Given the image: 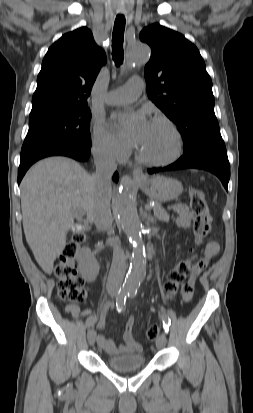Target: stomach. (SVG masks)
<instances>
[{
  "label": "stomach",
  "mask_w": 253,
  "mask_h": 413,
  "mask_svg": "<svg viewBox=\"0 0 253 413\" xmlns=\"http://www.w3.org/2000/svg\"><path fill=\"white\" fill-rule=\"evenodd\" d=\"M139 186L148 197L159 202L176 199L183 191L180 181L165 176H154L140 181Z\"/></svg>",
  "instance_id": "1"
}]
</instances>
